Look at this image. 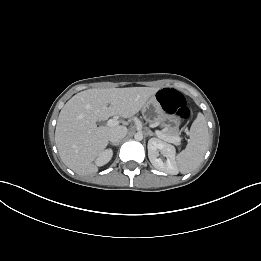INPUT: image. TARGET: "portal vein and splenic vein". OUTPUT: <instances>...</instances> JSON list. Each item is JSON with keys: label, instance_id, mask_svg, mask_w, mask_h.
<instances>
[{"label": "portal vein and splenic vein", "instance_id": "1", "mask_svg": "<svg viewBox=\"0 0 261 261\" xmlns=\"http://www.w3.org/2000/svg\"><path fill=\"white\" fill-rule=\"evenodd\" d=\"M118 120L116 118H113V119H109L107 121V125L110 126V127H114V126H117L118 125ZM156 134L159 138L167 141V142H170V143H175L177 142L179 139L176 138V137H168L166 136L165 134H163L161 131H156Z\"/></svg>", "mask_w": 261, "mask_h": 261}]
</instances>
